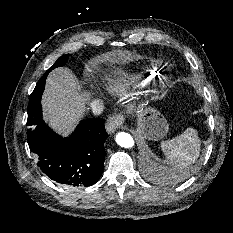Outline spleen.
Segmentation results:
<instances>
[{
  "instance_id": "1",
  "label": "spleen",
  "mask_w": 233,
  "mask_h": 233,
  "mask_svg": "<svg viewBox=\"0 0 233 233\" xmlns=\"http://www.w3.org/2000/svg\"><path fill=\"white\" fill-rule=\"evenodd\" d=\"M161 148L173 165L172 176L176 177L177 173L187 174V168L199 157L200 139L195 129L187 128L181 135L162 141Z\"/></svg>"
}]
</instances>
